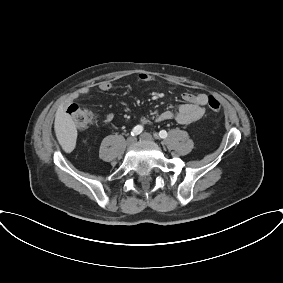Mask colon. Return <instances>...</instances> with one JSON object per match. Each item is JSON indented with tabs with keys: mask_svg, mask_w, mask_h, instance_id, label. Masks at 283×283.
<instances>
[{
	"mask_svg": "<svg viewBox=\"0 0 283 283\" xmlns=\"http://www.w3.org/2000/svg\"><path fill=\"white\" fill-rule=\"evenodd\" d=\"M207 104L212 113H218L220 111V103L214 96L208 97ZM67 115L79 129H86L94 121V116L89 110L79 107L76 104L68 107Z\"/></svg>",
	"mask_w": 283,
	"mask_h": 283,
	"instance_id": "1",
	"label": "colon"
}]
</instances>
